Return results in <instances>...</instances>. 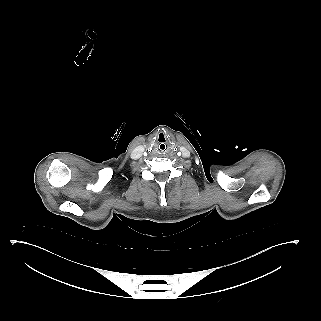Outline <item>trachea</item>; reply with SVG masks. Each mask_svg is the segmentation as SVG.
<instances>
[{"label": "trachea", "instance_id": "trachea-1", "mask_svg": "<svg viewBox=\"0 0 321 321\" xmlns=\"http://www.w3.org/2000/svg\"><path fill=\"white\" fill-rule=\"evenodd\" d=\"M157 149H158V152H159V153H162V154H163V153H166V152H167V149H168V148H167V145H166V144H163V143H162V144H159V145H158V148H157Z\"/></svg>", "mask_w": 321, "mask_h": 321}]
</instances>
